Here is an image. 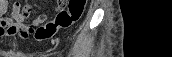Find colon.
Listing matches in <instances>:
<instances>
[{
    "mask_svg": "<svg viewBox=\"0 0 172 57\" xmlns=\"http://www.w3.org/2000/svg\"><path fill=\"white\" fill-rule=\"evenodd\" d=\"M65 1H55L57 5H63ZM86 0H69L67 7L59 11L53 21H50L44 25V31L40 35V38L47 40L52 38L60 29L69 28L76 23L82 16L85 8ZM24 15L30 14L31 9L25 7L22 11Z\"/></svg>",
    "mask_w": 172,
    "mask_h": 57,
    "instance_id": "1",
    "label": "colon"
}]
</instances>
